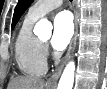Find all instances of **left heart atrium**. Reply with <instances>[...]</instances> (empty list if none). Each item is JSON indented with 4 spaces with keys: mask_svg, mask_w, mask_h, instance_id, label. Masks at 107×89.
Returning <instances> with one entry per match:
<instances>
[{
    "mask_svg": "<svg viewBox=\"0 0 107 89\" xmlns=\"http://www.w3.org/2000/svg\"><path fill=\"white\" fill-rule=\"evenodd\" d=\"M74 31L71 15L64 11L60 12L53 22V35L51 44L56 50H63L72 38Z\"/></svg>",
    "mask_w": 107,
    "mask_h": 89,
    "instance_id": "1",
    "label": "left heart atrium"
}]
</instances>
